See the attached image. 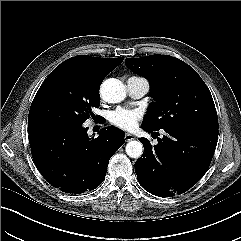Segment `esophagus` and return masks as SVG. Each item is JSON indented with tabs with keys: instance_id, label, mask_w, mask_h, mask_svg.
Returning a JSON list of instances; mask_svg holds the SVG:
<instances>
[{
	"instance_id": "34e87169",
	"label": "esophagus",
	"mask_w": 241,
	"mask_h": 241,
	"mask_svg": "<svg viewBox=\"0 0 241 241\" xmlns=\"http://www.w3.org/2000/svg\"><path fill=\"white\" fill-rule=\"evenodd\" d=\"M135 139V136L132 135V134H129V133H126L125 134V140L128 142V141H131V140H134Z\"/></svg>"
}]
</instances>
